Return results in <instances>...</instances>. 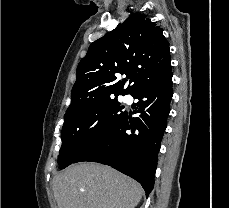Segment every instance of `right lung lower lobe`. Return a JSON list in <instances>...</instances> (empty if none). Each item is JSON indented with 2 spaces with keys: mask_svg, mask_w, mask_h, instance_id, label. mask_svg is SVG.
<instances>
[{
  "mask_svg": "<svg viewBox=\"0 0 229 208\" xmlns=\"http://www.w3.org/2000/svg\"><path fill=\"white\" fill-rule=\"evenodd\" d=\"M171 67L162 77L140 87L132 96L139 99L138 117L127 112L115 128L82 152L73 163L107 164L141 183L146 196L154 187L160 149L172 98Z\"/></svg>",
  "mask_w": 229,
  "mask_h": 208,
  "instance_id": "98d812e1",
  "label": "right lung lower lobe"
}]
</instances>
